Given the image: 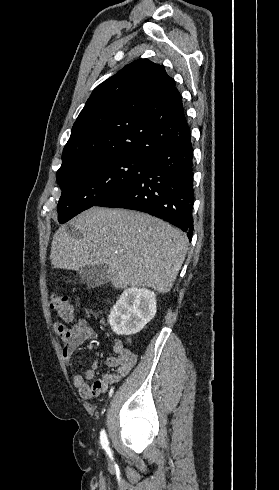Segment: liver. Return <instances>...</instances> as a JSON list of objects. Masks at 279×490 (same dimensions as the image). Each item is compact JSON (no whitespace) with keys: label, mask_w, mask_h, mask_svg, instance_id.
I'll use <instances>...</instances> for the list:
<instances>
[{"label":"liver","mask_w":279,"mask_h":490,"mask_svg":"<svg viewBox=\"0 0 279 490\" xmlns=\"http://www.w3.org/2000/svg\"><path fill=\"white\" fill-rule=\"evenodd\" d=\"M75 240L61 226L54 234V268L81 270L106 266L114 288H153L170 292L187 254L188 238L163 220L121 208H90L69 222Z\"/></svg>","instance_id":"liver-1"}]
</instances>
